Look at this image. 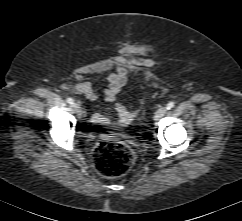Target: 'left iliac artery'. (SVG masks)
<instances>
[{
    "label": "left iliac artery",
    "instance_id": "left-iliac-artery-1",
    "mask_svg": "<svg viewBox=\"0 0 242 221\" xmlns=\"http://www.w3.org/2000/svg\"><path fill=\"white\" fill-rule=\"evenodd\" d=\"M174 102H169L168 104H167V106H166V108L168 109V110H170L171 108H173L174 107Z\"/></svg>",
    "mask_w": 242,
    "mask_h": 221
}]
</instances>
